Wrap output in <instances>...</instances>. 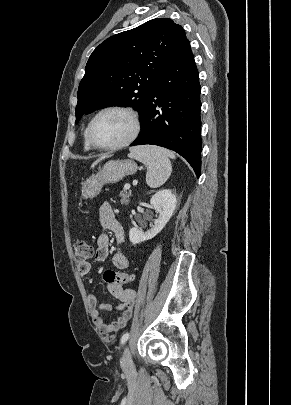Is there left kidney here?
Instances as JSON below:
<instances>
[{"label": "left kidney", "mask_w": 291, "mask_h": 405, "mask_svg": "<svg viewBox=\"0 0 291 405\" xmlns=\"http://www.w3.org/2000/svg\"><path fill=\"white\" fill-rule=\"evenodd\" d=\"M151 206L159 216L154 220L152 228L146 232L133 227L129 231L130 242L134 245L154 238L167 224L176 208V196L169 189L156 192L151 200Z\"/></svg>", "instance_id": "1"}]
</instances>
